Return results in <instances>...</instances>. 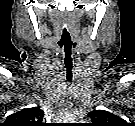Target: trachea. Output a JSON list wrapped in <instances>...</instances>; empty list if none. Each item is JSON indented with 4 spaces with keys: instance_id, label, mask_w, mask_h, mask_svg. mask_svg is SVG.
Here are the masks:
<instances>
[{
    "instance_id": "3493384b",
    "label": "trachea",
    "mask_w": 135,
    "mask_h": 126,
    "mask_svg": "<svg viewBox=\"0 0 135 126\" xmlns=\"http://www.w3.org/2000/svg\"><path fill=\"white\" fill-rule=\"evenodd\" d=\"M64 64H65V68H66V78H67V81L71 82L72 81V75H73L72 74V68H73L72 58L71 57H69V58L66 57L65 60H64Z\"/></svg>"
}]
</instances>
